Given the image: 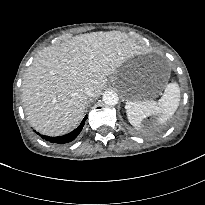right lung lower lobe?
Wrapping results in <instances>:
<instances>
[{
	"instance_id": "right-lung-lower-lobe-1",
	"label": "right lung lower lobe",
	"mask_w": 205,
	"mask_h": 205,
	"mask_svg": "<svg viewBox=\"0 0 205 205\" xmlns=\"http://www.w3.org/2000/svg\"><path fill=\"white\" fill-rule=\"evenodd\" d=\"M85 120L86 117L83 119V121L81 122V124L78 126V128H76L74 131L70 132L69 134L60 136V137H48V136H44L41 135V137L47 141H50L52 143H68L73 141L81 132L84 124H85Z\"/></svg>"
}]
</instances>
